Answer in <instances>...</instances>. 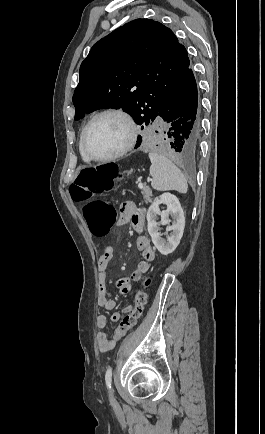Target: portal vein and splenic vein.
<instances>
[{"label": "portal vein and splenic vein", "instance_id": "1", "mask_svg": "<svg viewBox=\"0 0 265 434\" xmlns=\"http://www.w3.org/2000/svg\"><path fill=\"white\" fill-rule=\"evenodd\" d=\"M138 188H143L142 182H140V184H138Z\"/></svg>", "mask_w": 265, "mask_h": 434}]
</instances>
